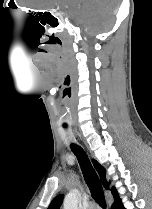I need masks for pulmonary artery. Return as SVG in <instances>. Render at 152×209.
<instances>
[{
  "instance_id": "1",
  "label": "pulmonary artery",
  "mask_w": 152,
  "mask_h": 209,
  "mask_svg": "<svg viewBox=\"0 0 152 209\" xmlns=\"http://www.w3.org/2000/svg\"><path fill=\"white\" fill-rule=\"evenodd\" d=\"M87 209H98V206L95 203H90Z\"/></svg>"
}]
</instances>
